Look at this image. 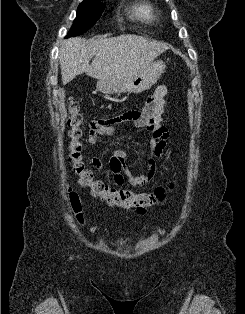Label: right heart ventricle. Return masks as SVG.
I'll use <instances>...</instances> for the list:
<instances>
[{"instance_id":"e07e8e85","label":"right heart ventricle","mask_w":245,"mask_h":314,"mask_svg":"<svg viewBox=\"0 0 245 314\" xmlns=\"http://www.w3.org/2000/svg\"><path fill=\"white\" fill-rule=\"evenodd\" d=\"M130 13L133 17L146 22H152L155 19V11L152 4L145 0H140L132 5Z\"/></svg>"}]
</instances>
